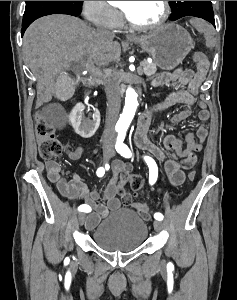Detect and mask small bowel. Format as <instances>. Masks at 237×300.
<instances>
[{
    "label": "small bowel",
    "mask_w": 237,
    "mask_h": 300,
    "mask_svg": "<svg viewBox=\"0 0 237 300\" xmlns=\"http://www.w3.org/2000/svg\"><path fill=\"white\" fill-rule=\"evenodd\" d=\"M208 67V64L197 65L195 71L180 67L173 72L157 74L152 80V84L155 86L170 84L186 85L187 88L169 93L162 101L144 111L137 121L134 132L136 146L152 155L156 160L164 162V176L171 186L182 184L185 179L184 171L194 166L197 159L196 153L202 149L207 138L208 131L205 123L209 119V112L206 104L201 102L198 114L201 124L196 134L189 133L186 136V144L173 135H165L162 139L164 149L148 138L152 119L155 113L164 111L175 104H185L186 108L176 114L172 118V122L178 123L188 118L191 114V107L195 103V97L206 79ZM67 153L71 159L76 160L84 154V150L77 148L68 150ZM126 170H128V166L122 162L118 161L113 164L111 177L103 192V199L106 201V204H103L100 202L99 191L90 190L78 174H72L69 179L65 178L58 162H46L47 177L50 182L55 184L58 191L68 199L84 201L91 208L92 212L90 211L91 213L86 219L88 229L94 228L109 211H116L122 204L130 203L129 195H126L123 200L117 196L121 174ZM132 206L147 217V205L132 203Z\"/></svg>",
    "instance_id": "obj_1"
}]
</instances>
